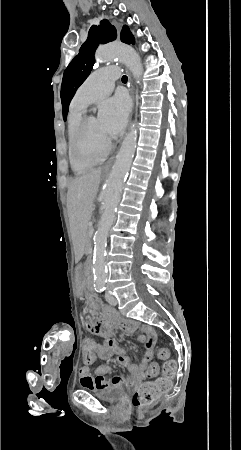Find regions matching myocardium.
I'll return each mask as SVG.
<instances>
[{
	"label": "myocardium",
	"instance_id": "myocardium-1",
	"mask_svg": "<svg viewBox=\"0 0 241 450\" xmlns=\"http://www.w3.org/2000/svg\"><path fill=\"white\" fill-rule=\"evenodd\" d=\"M90 117L87 115H83L74 125L73 127V133L75 135L71 136L70 141L71 144L70 148L75 150L74 156H75V162H82V159L84 156H87L85 153H82L80 151V148H78V145H81V137H83V134L85 132V129H83V127H85V123L88 121ZM94 162V158H102V157H97V156H91Z\"/></svg>",
	"mask_w": 241,
	"mask_h": 450
}]
</instances>
